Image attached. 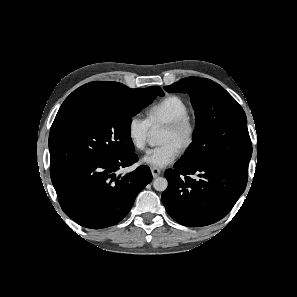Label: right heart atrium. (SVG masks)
I'll list each match as a JSON object with an SVG mask.
<instances>
[{
	"instance_id": "1",
	"label": "right heart atrium",
	"mask_w": 297,
	"mask_h": 297,
	"mask_svg": "<svg viewBox=\"0 0 297 297\" xmlns=\"http://www.w3.org/2000/svg\"><path fill=\"white\" fill-rule=\"evenodd\" d=\"M127 136L137 150H144L147 145L151 128L146 119L139 115H133L129 118L126 126Z\"/></svg>"
}]
</instances>
